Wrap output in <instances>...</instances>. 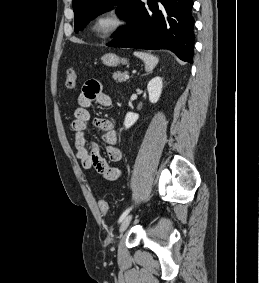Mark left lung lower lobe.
<instances>
[{"instance_id":"left-lung-lower-lobe-1","label":"left lung lower lobe","mask_w":259,"mask_h":283,"mask_svg":"<svg viewBox=\"0 0 259 283\" xmlns=\"http://www.w3.org/2000/svg\"><path fill=\"white\" fill-rule=\"evenodd\" d=\"M192 0H136L128 24L107 44L110 47L169 49L193 63Z\"/></svg>"}]
</instances>
